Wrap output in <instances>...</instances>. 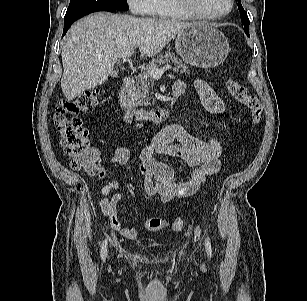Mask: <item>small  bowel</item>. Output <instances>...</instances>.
<instances>
[{
  "instance_id": "1",
  "label": "small bowel",
  "mask_w": 307,
  "mask_h": 301,
  "mask_svg": "<svg viewBox=\"0 0 307 301\" xmlns=\"http://www.w3.org/2000/svg\"><path fill=\"white\" fill-rule=\"evenodd\" d=\"M173 88L183 92L186 84L177 81ZM194 88L199 94L206 110L214 115L225 111V105L215 91L203 80H197ZM133 121L131 114H126L123 126L129 127ZM156 155L179 159L185 162L189 171L183 179H177L174 170L156 159ZM221 145L218 140L202 141L187 133L180 125L169 124L158 131L151 143L140 153V171L145 177V193L148 197L157 196L163 203H168L177 197L194 194L204 184L206 178L219 172ZM131 153L125 146H119L111 157V162L124 166L130 160ZM99 178L105 179L107 169L101 156L95 162ZM121 177L118 176L101 187L102 199L100 208L108 219L111 228L128 239H135L138 231L124 226L117 212V206L122 198L120 192H114L119 186Z\"/></svg>"
}]
</instances>
